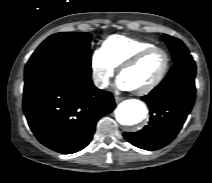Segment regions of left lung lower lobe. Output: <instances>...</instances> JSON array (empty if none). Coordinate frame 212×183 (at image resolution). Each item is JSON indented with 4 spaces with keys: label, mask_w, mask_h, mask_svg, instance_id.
<instances>
[{
    "label": "left lung lower lobe",
    "mask_w": 212,
    "mask_h": 183,
    "mask_svg": "<svg viewBox=\"0 0 212 183\" xmlns=\"http://www.w3.org/2000/svg\"><path fill=\"white\" fill-rule=\"evenodd\" d=\"M196 65L190 54L179 58L165 79L142 97L150 108V121L142 130L124 133L138 148L157 150L179 133L195 101Z\"/></svg>",
    "instance_id": "obj_1"
}]
</instances>
